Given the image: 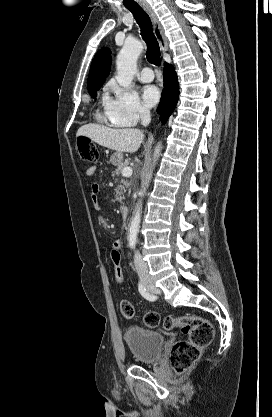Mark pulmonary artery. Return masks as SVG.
<instances>
[{"label": "pulmonary artery", "instance_id": "obj_1", "mask_svg": "<svg viewBox=\"0 0 272 417\" xmlns=\"http://www.w3.org/2000/svg\"><path fill=\"white\" fill-rule=\"evenodd\" d=\"M138 78L142 82H151L154 79V74L151 68L144 67L138 74Z\"/></svg>", "mask_w": 272, "mask_h": 417}]
</instances>
